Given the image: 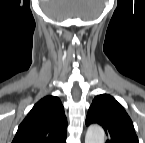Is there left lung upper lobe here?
Listing matches in <instances>:
<instances>
[{"label":"left lung upper lobe","instance_id":"left-lung-upper-lobe-1","mask_svg":"<svg viewBox=\"0 0 145 143\" xmlns=\"http://www.w3.org/2000/svg\"><path fill=\"white\" fill-rule=\"evenodd\" d=\"M101 125L108 140L106 143H139L133 123L124 108L110 95L95 97L89 108L86 125Z\"/></svg>","mask_w":145,"mask_h":143}]
</instances>
